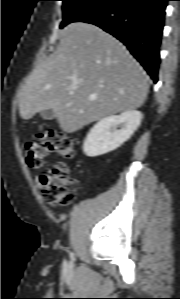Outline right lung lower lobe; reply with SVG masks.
<instances>
[{
    "label": "right lung lower lobe",
    "instance_id": "98d812e1",
    "mask_svg": "<svg viewBox=\"0 0 180 299\" xmlns=\"http://www.w3.org/2000/svg\"><path fill=\"white\" fill-rule=\"evenodd\" d=\"M168 0H102L74 22L99 26L123 42L154 83Z\"/></svg>",
    "mask_w": 180,
    "mask_h": 299
}]
</instances>
